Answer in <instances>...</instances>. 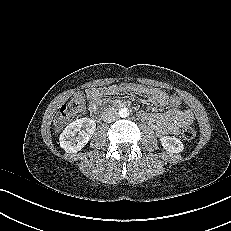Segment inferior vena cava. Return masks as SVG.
<instances>
[{
	"label": "inferior vena cava",
	"instance_id": "1",
	"mask_svg": "<svg viewBox=\"0 0 231 231\" xmlns=\"http://www.w3.org/2000/svg\"><path fill=\"white\" fill-rule=\"evenodd\" d=\"M118 117H119V114L114 109H108L102 115L103 121L108 122V123L116 121Z\"/></svg>",
	"mask_w": 231,
	"mask_h": 231
}]
</instances>
